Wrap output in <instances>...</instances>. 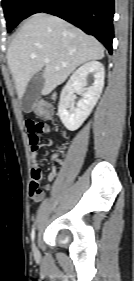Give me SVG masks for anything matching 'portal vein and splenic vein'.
<instances>
[{
    "label": "portal vein and splenic vein",
    "mask_w": 134,
    "mask_h": 281,
    "mask_svg": "<svg viewBox=\"0 0 134 281\" xmlns=\"http://www.w3.org/2000/svg\"><path fill=\"white\" fill-rule=\"evenodd\" d=\"M49 61H50L49 59H45L44 60L45 63H49Z\"/></svg>",
    "instance_id": "portal-vein-and-splenic-vein-1"
}]
</instances>
